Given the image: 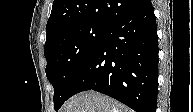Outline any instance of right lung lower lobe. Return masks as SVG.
<instances>
[{"mask_svg": "<svg viewBox=\"0 0 193 112\" xmlns=\"http://www.w3.org/2000/svg\"><path fill=\"white\" fill-rule=\"evenodd\" d=\"M95 90L136 112H155L158 38L153 6L139 8L111 24L81 67L69 98Z\"/></svg>", "mask_w": 193, "mask_h": 112, "instance_id": "1", "label": "right lung lower lobe"}]
</instances>
